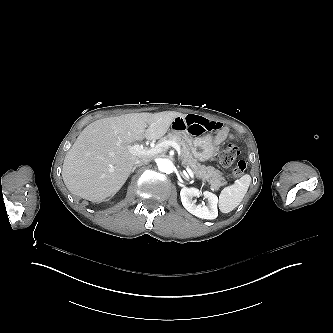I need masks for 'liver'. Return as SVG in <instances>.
Segmentation results:
<instances>
[{"label":"liver","mask_w":333,"mask_h":333,"mask_svg":"<svg viewBox=\"0 0 333 333\" xmlns=\"http://www.w3.org/2000/svg\"><path fill=\"white\" fill-rule=\"evenodd\" d=\"M184 115L175 111L131 113L96 120L77 137L66 153L62 177L74 195L103 202L123 186L137 160L128 151L135 141L160 139L172 121Z\"/></svg>","instance_id":"1"}]
</instances>
